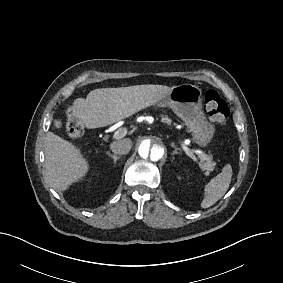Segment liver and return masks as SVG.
Listing matches in <instances>:
<instances>
[{
    "label": "liver",
    "mask_w": 283,
    "mask_h": 283,
    "mask_svg": "<svg viewBox=\"0 0 283 283\" xmlns=\"http://www.w3.org/2000/svg\"><path fill=\"white\" fill-rule=\"evenodd\" d=\"M172 87L137 85L102 88L87 97L76 98L68 108L77 127L88 130L123 121L164 100ZM45 175L50 185L60 193L84 180L91 169L82 146L48 132L45 140Z\"/></svg>",
    "instance_id": "liver-1"
}]
</instances>
